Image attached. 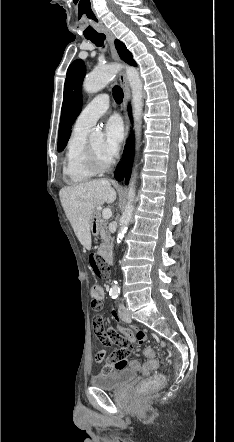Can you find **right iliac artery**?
<instances>
[{
	"mask_svg": "<svg viewBox=\"0 0 234 442\" xmlns=\"http://www.w3.org/2000/svg\"><path fill=\"white\" fill-rule=\"evenodd\" d=\"M110 296H111L113 299H115V298H117L118 293H116V292L110 293Z\"/></svg>",
	"mask_w": 234,
	"mask_h": 442,
	"instance_id": "obj_1",
	"label": "right iliac artery"
}]
</instances>
